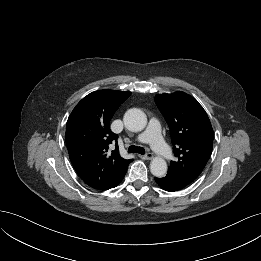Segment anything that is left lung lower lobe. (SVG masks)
<instances>
[{"instance_id": "obj_1", "label": "left lung lower lobe", "mask_w": 261, "mask_h": 261, "mask_svg": "<svg viewBox=\"0 0 261 261\" xmlns=\"http://www.w3.org/2000/svg\"><path fill=\"white\" fill-rule=\"evenodd\" d=\"M155 181L163 190L169 192L178 191L188 186L187 183L171 174L161 178L155 177Z\"/></svg>"}]
</instances>
